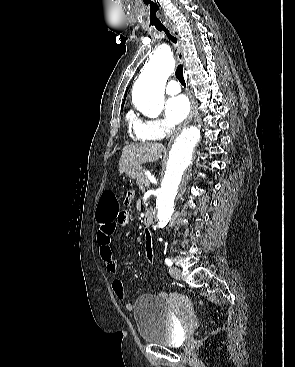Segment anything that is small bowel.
I'll return each mask as SVG.
<instances>
[{"mask_svg": "<svg viewBox=\"0 0 295 367\" xmlns=\"http://www.w3.org/2000/svg\"><path fill=\"white\" fill-rule=\"evenodd\" d=\"M126 198L130 199V202L133 199V193L129 192L126 195ZM128 208H121L118 213V221L117 220H109V221H101L97 218L98 222V230H97V243L99 246L100 257L105 264L106 271L115 274L118 270L117 262L113 255V249L111 244V237L115 232L117 225L127 226L128 225ZM112 290L115 296L124 300L126 297L124 283L121 279H114L112 281ZM125 308L129 311L133 310L132 303H126Z\"/></svg>", "mask_w": 295, "mask_h": 367, "instance_id": "c3829d8e", "label": "small bowel"}]
</instances>
